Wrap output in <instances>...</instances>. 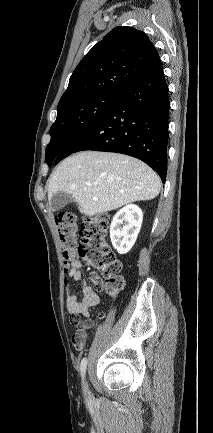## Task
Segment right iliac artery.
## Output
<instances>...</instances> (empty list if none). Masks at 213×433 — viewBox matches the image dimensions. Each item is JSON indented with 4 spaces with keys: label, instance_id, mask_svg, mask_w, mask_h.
<instances>
[{
    "label": "right iliac artery",
    "instance_id": "right-iliac-artery-1",
    "mask_svg": "<svg viewBox=\"0 0 213 433\" xmlns=\"http://www.w3.org/2000/svg\"><path fill=\"white\" fill-rule=\"evenodd\" d=\"M87 367V359L83 358L80 365L81 375L84 376Z\"/></svg>",
    "mask_w": 213,
    "mask_h": 433
}]
</instances>
